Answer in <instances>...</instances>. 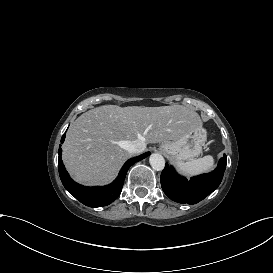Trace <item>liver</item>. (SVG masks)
I'll return each instance as SVG.
<instances>
[{"label": "liver", "mask_w": 273, "mask_h": 273, "mask_svg": "<svg viewBox=\"0 0 273 273\" xmlns=\"http://www.w3.org/2000/svg\"><path fill=\"white\" fill-rule=\"evenodd\" d=\"M201 125L198 113L182 105L100 106L83 113L70 125L63 160L76 181L108 183L130 156L125 149L127 142L176 140Z\"/></svg>", "instance_id": "1"}]
</instances>
